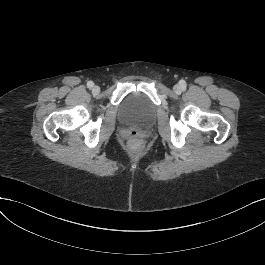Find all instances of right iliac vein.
<instances>
[{
	"label": "right iliac vein",
	"instance_id": "63e3f726",
	"mask_svg": "<svg viewBox=\"0 0 265 265\" xmlns=\"http://www.w3.org/2000/svg\"><path fill=\"white\" fill-rule=\"evenodd\" d=\"M92 92L94 93V94H98L99 92H100V87L99 86H94L93 88H92Z\"/></svg>",
	"mask_w": 265,
	"mask_h": 265
}]
</instances>
